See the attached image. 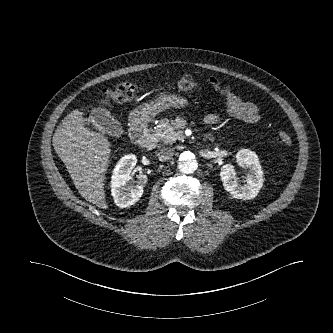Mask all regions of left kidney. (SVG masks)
Segmentation results:
<instances>
[{
  "label": "left kidney",
  "mask_w": 333,
  "mask_h": 333,
  "mask_svg": "<svg viewBox=\"0 0 333 333\" xmlns=\"http://www.w3.org/2000/svg\"><path fill=\"white\" fill-rule=\"evenodd\" d=\"M236 162L244 169H248L246 184H240L231 164L221 168L220 177L223 186L234 198L251 200L257 196L263 185V172L258 156L254 151L241 149L236 154Z\"/></svg>",
  "instance_id": "1"
}]
</instances>
